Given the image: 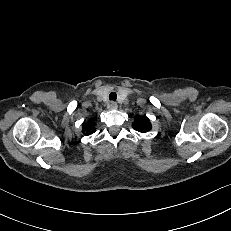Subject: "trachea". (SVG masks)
Instances as JSON below:
<instances>
[{
  "label": "trachea",
  "mask_w": 231,
  "mask_h": 231,
  "mask_svg": "<svg viewBox=\"0 0 231 231\" xmlns=\"http://www.w3.org/2000/svg\"><path fill=\"white\" fill-rule=\"evenodd\" d=\"M109 99L112 100V101H116L117 99V94L115 92H111L109 94Z\"/></svg>",
  "instance_id": "obj_1"
}]
</instances>
